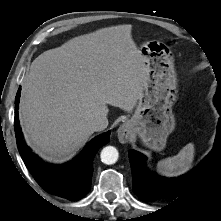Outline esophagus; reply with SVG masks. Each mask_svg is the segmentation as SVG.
<instances>
[{"label": "esophagus", "mask_w": 221, "mask_h": 221, "mask_svg": "<svg viewBox=\"0 0 221 221\" xmlns=\"http://www.w3.org/2000/svg\"><path fill=\"white\" fill-rule=\"evenodd\" d=\"M132 128L129 122L123 123L117 130V136L121 143H127L131 137Z\"/></svg>", "instance_id": "esophagus-1"}]
</instances>
